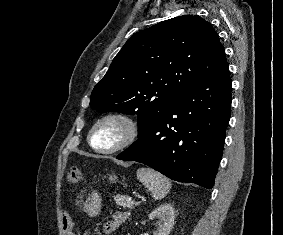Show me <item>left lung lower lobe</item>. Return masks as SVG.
Segmentation results:
<instances>
[{
  "label": "left lung lower lobe",
  "mask_w": 283,
  "mask_h": 235,
  "mask_svg": "<svg viewBox=\"0 0 283 235\" xmlns=\"http://www.w3.org/2000/svg\"><path fill=\"white\" fill-rule=\"evenodd\" d=\"M231 84L226 62L186 88L117 159L146 164L178 182L212 188L230 119Z\"/></svg>",
  "instance_id": "obj_1"
}]
</instances>
